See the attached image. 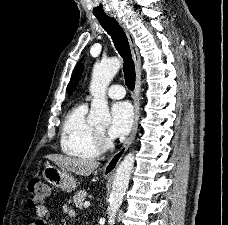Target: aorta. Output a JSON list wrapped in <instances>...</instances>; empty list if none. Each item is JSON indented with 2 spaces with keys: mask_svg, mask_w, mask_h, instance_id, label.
Wrapping results in <instances>:
<instances>
[{
  "mask_svg": "<svg viewBox=\"0 0 228 225\" xmlns=\"http://www.w3.org/2000/svg\"><path fill=\"white\" fill-rule=\"evenodd\" d=\"M120 66L121 60L117 56H112V58H107V60H101L98 64H94L90 82V92L92 94L91 108L87 117L89 125H103V127L110 125L111 117L106 90ZM134 161L135 157L133 153H130V155L124 157L116 169L110 195L108 225H115V215L117 209L122 205L124 195H126Z\"/></svg>",
  "mask_w": 228,
  "mask_h": 225,
  "instance_id": "762f6f07",
  "label": "aorta"
}]
</instances>
